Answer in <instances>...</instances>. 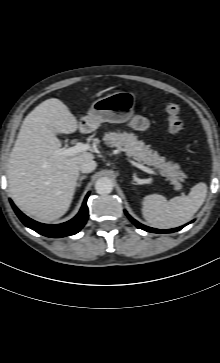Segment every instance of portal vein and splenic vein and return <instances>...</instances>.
I'll list each match as a JSON object with an SVG mask.
<instances>
[{"label": "portal vein and splenic vein", "mask_w": 220, "mask_h": 363, "mask_svg": "<svg viewBox=\"0 0 220 363\" xmlns=\"http://www.w3.org/2000/svg\"><path fill=\"white\" fill-rule=\"evenodd\" d=\"M91 146L89 144H84L81 142L76 143L75 146L69 147L67 149H59L55 151L56 155H63V156H73L75 154L90 150ZM131 163L136 166L137 168L153 175H157V172L152 170L151 168H148L142 164L136 163L134 161H131Z\"/></svg>", "instance_id": "obj_1"}]
</instances>
